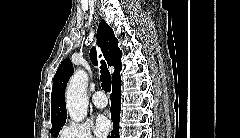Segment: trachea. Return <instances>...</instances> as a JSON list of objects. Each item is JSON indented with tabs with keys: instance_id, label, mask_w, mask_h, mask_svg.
Segmentation results:
<instances>
[{
	"instance_id": "1",
	"label": "trachea",
	"mask_w": 240,
	"mask_h": 138,
	"mask_svg": "<svg viewBox=\"0 0 240 138\" xmlns=\"http://www.w3.org/2000/svg\"><path fill=\"white\" fill-rule=\"evenodd\" d=\"M101 57V56H100ZM101 66H100V81H101V86L102 89L105 92H110L111 91V75L108 71V68L106 66V63L104 60L100 61Z\"/></svg>"
}]
</instances>
